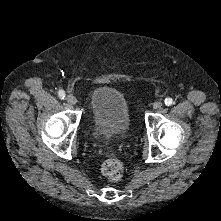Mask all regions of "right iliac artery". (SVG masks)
<instances>
[{"mask_svg":"<svg viewBox=\"0 0 221 221\" xmlns=\"http://www.w3.org/2000/svg\"><path fill=\"white\" fill-rule=\"evenodd\" d=\"M58 96L61 100L65 99V92L63 90H59L58 91Z\"/></svg>","mask_w":221,"mask_h":221,"instance_id":"right-iliac-artery-1","label":"right iliac artery"}]
</instances>
